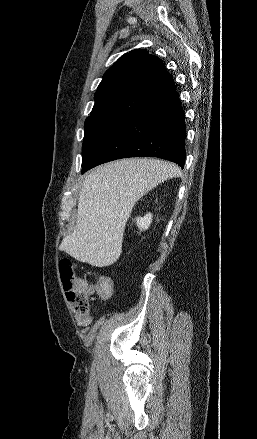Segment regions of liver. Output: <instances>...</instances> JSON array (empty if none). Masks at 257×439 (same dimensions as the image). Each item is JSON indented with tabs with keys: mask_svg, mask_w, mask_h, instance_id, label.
I'll list each match as a JSON object with an SVG mask.
<instances>
[{
	"mask_svg": "<svg viewBox=\"0 0 257 439\" xmlns=\"http://www.w3.org/2000/svg\"><path fill=\"white\" fill-rule=\"evenodd\" d=\"M181 175L167 161L128 158L89 172L78 199L77 222L60 250L80 262L106 267L122 253L125 225L135 203L158 184Z\"/></svg>",
	"mask_w": 257,
	"mask_h": 439,
	"instance_id": "6515ba94",
	"label": "liver"
}]
</instances>
